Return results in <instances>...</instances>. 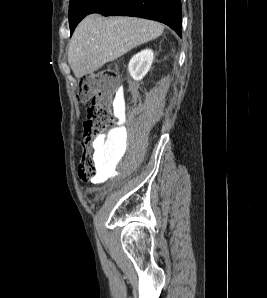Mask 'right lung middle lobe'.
Instances as JSON below:
<instances>
[{
    "label": "right lung middle lobe",
    "mask_w": 267,
    "mask_h": 298,
    "mask_svg": "<svg viewBox=\"0 0 267 298\" xmlns=\"http://www.w3.org/2000/svg\"><path fill=\"white\" fill-rule=\"evenodd\" d=\"M99 1L100 0H70L69 25L71 33L81 19L90 14L91 10Z\"/></svg>",
    "instance_id": "1"
}]
</instances>
